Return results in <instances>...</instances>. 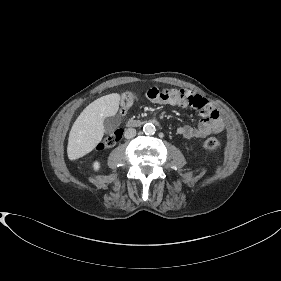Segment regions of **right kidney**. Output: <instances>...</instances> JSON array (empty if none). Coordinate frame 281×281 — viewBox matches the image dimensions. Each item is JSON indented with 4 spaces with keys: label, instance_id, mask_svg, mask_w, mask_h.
Wrapping results in <instances>:
<instances>
[{
    "label": "right kidney",
    "instance_id": "1",
    "mask_svg": "<svg viewBox=\"0 0 281 281\" xmlns=\"http://www.w3.org/2000/svg\"><path fill=\"white\" fill-rule=\"evenodd\" d=\"M100 162L99 161H95L94 163H93V169H94V171H98L99 169H100Z\"/></svg>",
    "mask_w": 281,
    "mask_h": 281
}]
</instances>
